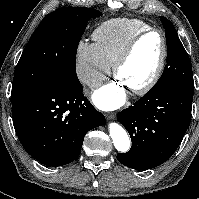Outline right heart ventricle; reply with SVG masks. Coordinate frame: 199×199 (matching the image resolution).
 <instances>
[{"instance_id":"1","label":"right heart ventricle","mask_w":199,"mask_h":199,"mask_svg":"<svg viewBox=\"0 0 199 199\" xmlns=\"http://www.w3.org/2000/svg\"><path fill=\"white\" fill-rule=\"evenodd\" d=\"M150 25L140 19L119 18L102 23L93 32V39L102 56L112 65L126 44Z\"/></svg>"}]
</instances>
